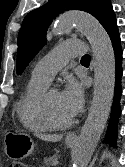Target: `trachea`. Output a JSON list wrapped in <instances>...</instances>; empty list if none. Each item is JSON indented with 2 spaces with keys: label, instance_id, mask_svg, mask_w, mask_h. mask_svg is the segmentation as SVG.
Instances as JSON below:
<instances>
[{
  "label": "trachea",
  "instance_id": "obj_1",
  "mask_svg": "<svg viewBox=\"0 0 125 167\" xmlns=\"http://www.w3.org/2000/svg\"><path fill=\"white\" fill-rule=\"evenodd\" d=\"M91 58L89 55H84L82 58H81V61L82 62H90Z\"/></svg>",
  "mask_w": 125,
  "mask_h": 167
}]
</instances>
